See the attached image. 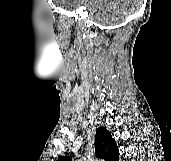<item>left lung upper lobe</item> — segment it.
Here are the masks:
<instances>
[{"label":"left lung upper lobe","instance_id":"obj_1","mask_svg":"<svg viewBox=\"0 0 171 161\" xmlns=\"http://www.w3.org/2000/svg\"><path fill=\"white\" fill-rule=\"evenodd\" d=\"M96 156L105 161H118L119 151L116 141L106 128H98L95 135ZM58 161H71L69 157L59 158Z\"/></svg>","mask_w":171,"mask_h":161}]
</instances>
